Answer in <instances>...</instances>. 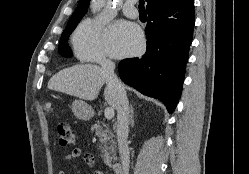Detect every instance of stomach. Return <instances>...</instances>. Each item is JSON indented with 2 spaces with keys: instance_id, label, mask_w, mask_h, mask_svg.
I'll return each mask as SVG.
<instances>
[{
  "instance_id": "stomach-1",
  "label": "stomach",
  "mask_w": 249,
  "mask_h": 174,
  "mask_svg": "<svg viewBox=\"0 0 249 174\" xmlns=\"http://www.w3.org/2000/svg\"><path fill=\"white\" fill-rule=\"evenodd\" d=\"M72 111L81 120H89L93 114L92 108L82 100H75L72 103Z\"/></svg>"
}]
</instances>
